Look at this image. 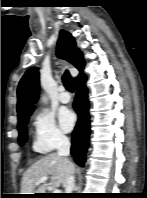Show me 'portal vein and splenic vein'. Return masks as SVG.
Wrapping results in <instances>:
<instances>
[{"instance_id": "18ae733b", "label": "portal vein and splenic vein", "mask_w": 147, "mask_h": 198, "mask_svg": "<svg viewBox=\"0 0 147 198\" xmlns=\"http://www.w3.org/2000/svg\"><path fill=\"white\" fill-rule=\"evenodd\" d=\"M47 180H48V177H42L39 181L36 182V184H41ZM54 193H62V192L59 189H55Z\"/></svg>"}]
</instances>
